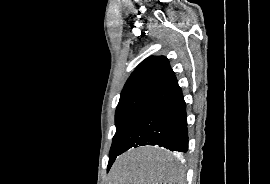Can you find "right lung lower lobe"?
<instances>
[{"mask_svg": "<svg viewBox=\"0 0 270 184\" xmlns=\"http://www.w3.org/2000/svg\"><path fill=\"white\" fill-rule=\"evenodd\" d=\"M143 145H158L178 152L188 150L186 103L176 79L148 98L131 125L119 155Z\"/></svg>", "mask_w": 270, "mask_h": 184, "instance_id": "right-lung-lower-lobe-1", "label": "right lung lower lobe"}]
</instances>
